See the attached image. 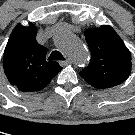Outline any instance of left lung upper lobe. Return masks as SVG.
I'll return each mask as SVG.
<instances>
[{"mask_svg":"<svg viewBox=\"0 0 135 135\" xmlns=\"http://www.w3.org/2000/svg\"><path fill=\"white\" fill-rule=\"evenodd\" d=\"M91 52L90 64L80 75L93 87L107 89L124 82L131 72V53L109 25L84 33Z\"/></svg>","mask_w":135,"mask_h":135,"instance_id":"left-lung-upper-lobe-1","label":"left lung upper lobe"}]
</instances>
